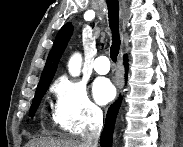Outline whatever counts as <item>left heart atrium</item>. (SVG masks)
<instances>
[{
	"label": "left heart atrium",
	"mask_w": 183,
	"mask_h": 147,
	"mask_svg": "<svg viewBox=\"0 0 183 147\" xmlns=\"http://www.w3.org/2000/svg\"><path fill=\"white\" fill-rule=\"evenodd\" d=\"M92 92L96 102L103 105L113 99L115 88L108 79L98 78L92 85Z\"/></svg>",
	"instance_id": "left-heart-atrium-1"
}]
</instances>
